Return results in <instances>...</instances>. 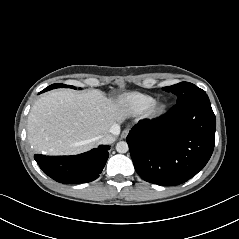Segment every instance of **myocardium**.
<instances>
[{
    "label": "myocardium",
    "mask_w": 239,
    "mask_h": 239,
    "mask_svg": "<svg viewBox=\"0 0 239 239\" xmlns=\"http://www.w3.org/2000/svg\"><path fill=\"white\" fill-rule=\"evenodd\" d=\"M166 111V104L161 100H153L145 110L148 117H159Z\"/></svg>",
    "instance_id": "obj_1"
}]
</instances>
